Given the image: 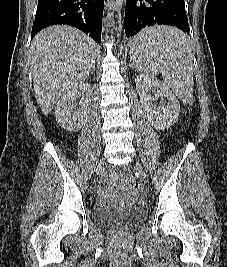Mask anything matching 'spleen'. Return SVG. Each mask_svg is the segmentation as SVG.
<instances>
[{"mask_svg": "<svg viewBox=\"0 0 227 267\" xmlns=\"http://www.w3.org/2000/svg\"><path fill=\"white\" fill-rule=\"evenodd\" d=\"M128 46L130 63L142 77H163L182 101L193 95V53L187 36L173 27H147Z\"/></svg>", "mask_w": 227, "mask_h": 267, "instance_id": "obj_1", "label": "spleen"}]
</instances>
